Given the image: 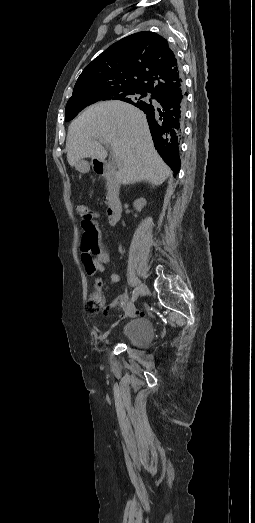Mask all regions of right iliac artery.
<instances>
[{
	"label": "right iliac artery",
	"instance_id": "obj_1",
	"mask_svg": "<svg viewBox=\"0 0 255 523\" xmlns=\"http://www.w3.org/2000/svg\"><path fill=\"white\" fill-rule=\"evenodd\" d=\"M138 297V288H135L133 290V293H132V301L136 300V298Z\"/></svg>",
	"mask_w": 255,
	"mask_h": 523
}]
</instances>
